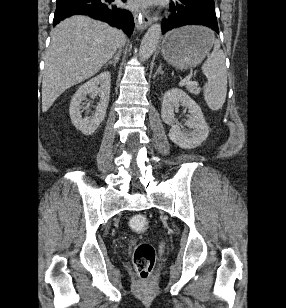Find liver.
Listing matches in <instances>:
<instances>
[{"instance_id": "obj_1", "label": "liver", "mask_w": 286, "mask_h": 308, "mask_svg": "<svg viewBox=\"0 0 286 308\" xmlns=\"http://www.w3.org/2000/svg\"><path fill=\"white\" fill-rule=\"evenodd\" d=\"M124 42L122 31L86 16L59 23L45 57L42 111L65 90L95 75Z\"/></svg>"}]
</instances>
